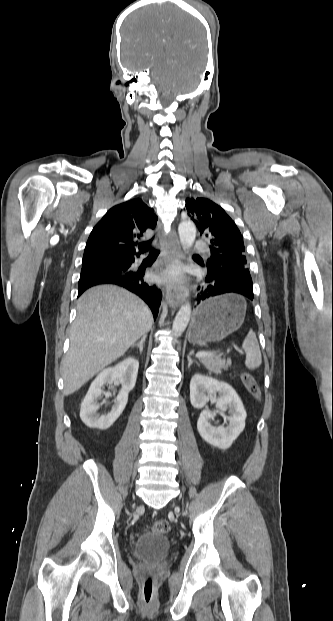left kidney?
<instances>
[{
  "instance_id": "left-kidney-1",
  "label": "left kidney",
  "mask_w": 333,
  "mask_h": 621,
  "mask_svg": "<svg viewBox=\"0 0 333 621\" xmlns=\"http://www.w3.org/2000/svg\"><path fill=\"white\" fill-rule=\"evenodd\" d=\"M218 394L216 397L215 395ZM214 398L221 414L228 411L229 424L212 426L210 420L215 417L214 412L203 410L197 421V430L200 436L210 445L220 449H228L233 441L245 428L246 411L236 391L225 382L214 378L196 374L190 382V401L193 407L203 408Z\"/></svg>"
}]
</instances>
